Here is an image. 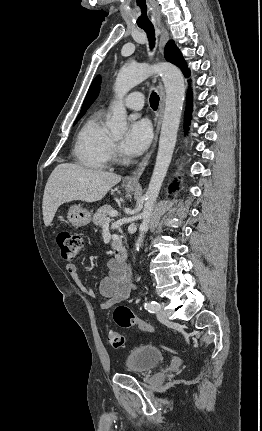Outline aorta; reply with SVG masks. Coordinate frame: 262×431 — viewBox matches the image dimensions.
I'll use <instances>...</instances> for the list:
<instances>
[{
    "mask_svg": "<svg viewBox=\"0 0 262 431\" xmlns=\"http://www.w3.org/2000/svg\"><path fill=\"white\" fill-rule=\"evenodd\" d=\"M153 74H158L162 78L166 91V101L156 162L145 193V203L141 213L142 223L135 243L136 251L141 248L144 236L148 231L154 205L166 177L175 148L185 99V82L181 71L168 63L156 65L143 63L122 67L114 85L116 101L112 104V117L107 122V126L114 136L121 137L125 134L127 130V112L123 104V98L133 87Z\"/></svg>",
    "mask_w": 262,
    "mask_h": 431,
    "instance_id": "obj_1",
    "label": "aorta"
}]
</instances>
